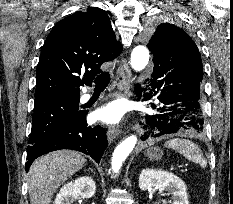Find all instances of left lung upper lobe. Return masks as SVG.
Listing matches in <instances>:
<instances>
[{
	"label": "left lung upper lobe",
	"mask_w": 233,
	"mask_h": 204,
	"mask_svg": "<svg viewBox=\"0 0 233 204\" xmlns=\"http://www.w3.org/2000/svg\"><path fill=\"white\" fill-rule=\"evenodd\" d=\"M149 42L148 48L154 56L162 50H178L188 57L196 75L202 81L203 66L198 47L194 41L193 36L186 32L183 28L171 24L169 22H161L153 24L148 31Z\"/></svg>",
	"instance_id": "1"
}]
</instances>
